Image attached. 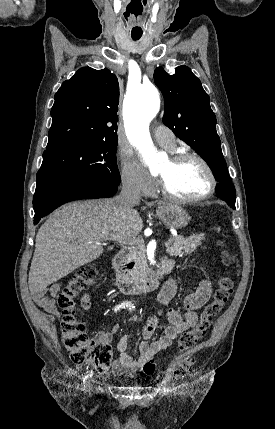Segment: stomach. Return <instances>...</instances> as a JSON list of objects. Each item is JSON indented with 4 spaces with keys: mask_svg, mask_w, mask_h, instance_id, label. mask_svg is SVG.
Segmentation results:
<instances>
[{
    "mask_svg": "<svg viewBox=\"0 0 275 429\" xmlns=\"http://www.w3.org/2000/svg\"><path fill=\"white\" fill-rule=\"evenodd\" d=\"M159 219L170 228H184L190 217L185 209L175 204L159 206L157 209Z\"/></svg>",
    "mask_w": 275,
    "mask_h": 429,
    "instance_id": "stomach-1",
    "label": "stomach"
}]
</instances>
